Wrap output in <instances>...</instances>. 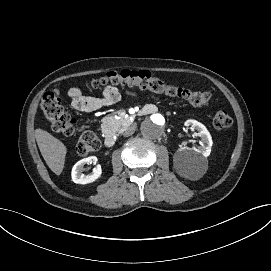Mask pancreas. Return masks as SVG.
I'll list each match as a JSON object with an SVG mask.
<instances>
[{"instance_id": "1", "label": "pancreas", "mask_w": 271, "mask_h": 271, "mask_svg": "<svg viewBox=\"0 0 271 271\" xmlns=\"http://www.w3.org/2000/svg\"><path fill=\"white\" fill-rule=\"evenodd\" d=\"M127 125V120L125 118H120L116 120L113 116L104 117L102 119V129L106 131L115 130L120 131L123 127Z\"/></svg>"}]
</instances>
